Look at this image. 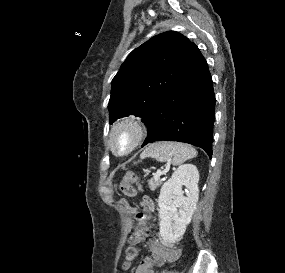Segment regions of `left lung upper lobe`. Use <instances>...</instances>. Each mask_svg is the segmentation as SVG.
<instances>
[{"instance_id":"5c2ea615","label":"left lung upper lobe","mask_w":285,"mask_h":273,"mask_svg":"<svg viewBox=\"0 0 285 273\" xmlns=\"http://www.w3.org/2000/svg\"><path fill=\"white\" fill-rule=\"evenodd\" d=\"M192 42L175 31L152 37L127 57L112 80L109 122L147 116L181 73Z\"/></svg>"}]
</instances>
